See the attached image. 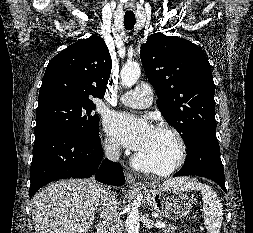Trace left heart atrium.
Segmentation results:
<instances>
[{
	"instance_id": "obj_1",
	"label": "left heart atrium",
	"mask_w": 253,
	"mask_h": 233,
	"mask_svg": "<svg viewBox=\"0 0 253 233\" xmlns=\"http://www.w3.org/2000/svg\"><path fill=\"white\" fill-rule=\"evenodd\" d=\"M105 127L122 145L136 152L146 145L154 130L146 119L122 112L109 114Z\"/></svg>"
}]
</instances>
